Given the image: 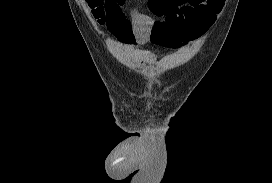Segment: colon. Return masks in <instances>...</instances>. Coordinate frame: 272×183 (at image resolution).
Instances as JSON below:
<instances>
[{
    "label": "colon",
    "mask_w": 272,
    "mask_h": 183,
    "mask_svg": "<svg viewBox=\"0 0 272 183\" xmlns=\"http://www.w3.org/2000/svg\"><path fill=\"white\" fill-rule=\"evenodd\" d=\"M86 2L89 8L92 10L95 18L98 19L100 22L106 23L105 5L107 0H86Z\"/></svg>",
    "instance_id": "colon-1"
}]
</instances>
